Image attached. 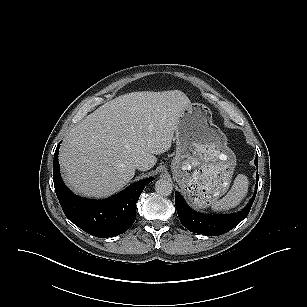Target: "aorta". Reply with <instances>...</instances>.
<instances>
[{
	"instance_id": "obj_1",
	"label": "aorta",
	"mask_w": 307,
	"mask_h": 307,
	"mask_svg": "<svg viewBox=\"0 0 307 307\" xmlns=\"http://www.w3.org/2000/svg\"><path fill=\"white\" fill-rule=\"evenodd\" d=\"M172 183L167 179H159L155 183V191L161 196H168L172 193Z\"/></svg>"
}]
</instances>
